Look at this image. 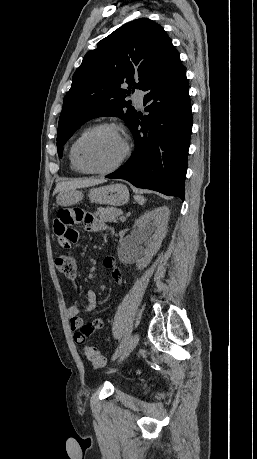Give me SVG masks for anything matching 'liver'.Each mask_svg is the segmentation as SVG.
I'll return each mask as SVG.
<instances>
[{
  "label": "liver",
  "instance_id": "1",
  "mask_svg": "<svg viewBox=\"0 0 257 459\" xmlns=\"http://www.w3.org/2000/svg\"><path fill=\"white\" fill-rule=\"evenodd\" d=\"M104 179H74V180H69V181H64L60 182L56 185L54 194L60 193L63 191L71 190V189H77V188H85V187H90V186H95L98 184L104 183Z\"/></svg>",
  "mask_w": 257,
  "mask_h": 459
}]
</instances>
